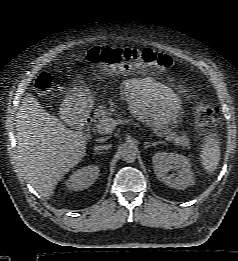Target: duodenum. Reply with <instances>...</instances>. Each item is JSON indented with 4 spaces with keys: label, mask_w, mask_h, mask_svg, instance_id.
Returning <instances> with one entry per match:
<instances>
[{
    "label": "duodenum",
    "mask_w": 238,
    "mask_h": 261,
    "mask_svg": "<svg viewBox=\"0 0 238 261\" xmlns=\"http://www.w3.org/2000/svg\"><path fill=\"white\" fill-rule=\"evenodd\" d=\"M70 120L81 132H85L91 124V118L88 115H74Z\"/></svg>",
    "instance_id": "obj_1"
}]
</instances>
